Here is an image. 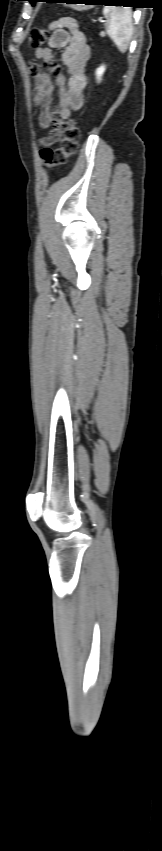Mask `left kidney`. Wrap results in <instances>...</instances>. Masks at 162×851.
Segmentation results:
<instances>
[{
  "instance_id": "5707ae66",
  "label": "left kidney",
  "mask_w": 162,
  "mask_h": 851,
  "mask_svg": "<svg viewBox=\"0 0 162 851\" xmlns=\"http://www.w3.org/2000/svg\"><path fill=\"white\" fill-rule=\"evenodd\" d=\"M104 72H105V66H100V67L96 70V77H97L98 82H100L101 77H102V75H103V73H104Z\"/></svg>"
}]
</instances>
